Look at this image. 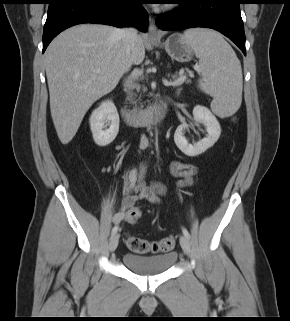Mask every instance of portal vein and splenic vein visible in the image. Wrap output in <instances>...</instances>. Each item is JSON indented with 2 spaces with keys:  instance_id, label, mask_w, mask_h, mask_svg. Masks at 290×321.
Segmentation results:
<instances>
[{
  "instance_id": "18ae733b",
  "label": "portal vein and splenic vein",
  "mask_w": 290,
  "mask_h": 321,
  "mask_svg": "<svg viewBox=\"0 0 290 321\" xmlns=\"http://www.w3.org/2000/svg\"><path fill=\"white\" fill-rule=\"evenodd\" d=\"M96 73H99L100 72V69H97L95 71ZM187 77L186 76H180L177 80H175L174 82L172 83H169V85H181L182 83H184V81H186Z\"/></svg>"
}]
</instances>
